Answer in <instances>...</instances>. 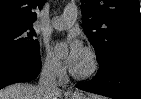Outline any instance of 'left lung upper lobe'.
<instances>
[{
    "instance_id": "obj_1",
    "label": "left lung upper lobe",
    "mask_w": 141,
    "mask_h": 99,
    "mask_svg": "<svg viewBox=\"0 0 141 99\" xmlns=\"http://www.w3.org/2000/svg\"><path fill=\"white\" fill-rule=\"evenodd\" d=\"M81 4L84 31L100 62L118 51H141L138 0H81Z\"/></svg>"
}]
</instances>
